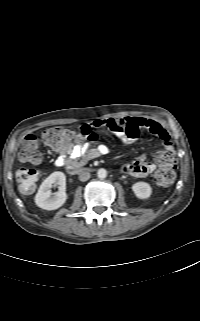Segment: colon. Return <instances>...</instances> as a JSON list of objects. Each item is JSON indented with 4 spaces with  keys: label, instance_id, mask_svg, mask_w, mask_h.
<instances>
[{
    "label": "colon",
    "instance_id": "1",
    "mask_svg": "<svg viewBox=\"0 0 200 321\" xmlns=\"http://www.w3.org/2000/svg\"><path fill=\"white\" fill-rule=\"evenodd\" d=\"M75 136L73 130L65 126H55L47 129L43 133L44 142L59 151L67 147V143ZM82 139L96 141L98 136L94 132H87L82 135ZM19 157L23 162L37 164L40 159L39 140L33 135H27L20 148ZM158 169L154 174V180L158 186L167 187L171 185L176 177L177 162L173 151H164L156 158ZM40 172L35 167L22 168L16 174L20 189L25 193L34 190Z\"/></svg>",
    "mask_w": 200,
    "mask_h": 321
}]
</instances>
